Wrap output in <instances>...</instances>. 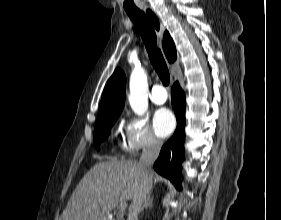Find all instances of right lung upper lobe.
<instances>
[{"label": "right lung upper lobe", "mask_w": 281, "mask_h": 220, "mask_svg": "<svg viewBox=\"0 0 281 220\" xmlns=\"http://www.w3.org/2000/svg\"><path fill=\"white\" fill-rule=\"evenodd\" d=\"M163 48L170 63L176 60V49L172 38L166 31L163 36ZM125 74L120 68H116L113 75L107 81L98 112V118L120 115L125 100Z\"/></svg>", "instance_id": "1"}]
</instances>
